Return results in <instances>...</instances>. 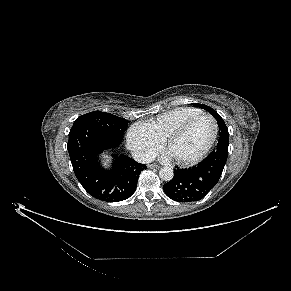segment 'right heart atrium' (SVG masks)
Returning a JSON list of instances; mask_svg holds the SVG:
<instances>
[{"label": "right heart atrium", "mask_w": 291, "mask_h": 291, "mask_svg": "<svg viewBox=\"0 0 291 291\" xmlns=\"http://www.w3.org/2000/svg\"><path fill=\"white\" fill-rule=\"evenodd\" d=\"M161 141L142 124L133 125L127 133V146L140 160H147L160 147Z\"/></svg>", "instance_id": "1"}]
</instances>
